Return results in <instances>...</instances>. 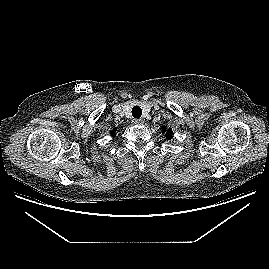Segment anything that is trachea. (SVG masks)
Listing matches in <instances>:
<instances>
[{"label": "trachea", "mask_w": 269, "mask_h": 269, "mask_svg": "<svg viewBox=\"0 0 269 269\" xmlns=\"http://www.w3.org/2000/svg\"><path fill=\"white\" fill-rule=\"evenodd\" d=\"M142 115V110L140 107L138 106H135L133 109H132V116L134 118H140Z\"/></svg>", "instance_id": "trachea-1"}]
</instances>
